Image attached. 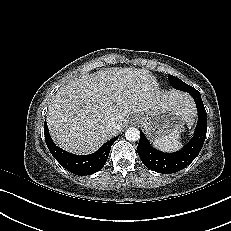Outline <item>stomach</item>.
I'll return each instance as SVG.
<instances>
[{
	"label": "stomach",
	"mask_w": 231,
	"mask_h": 231,
	"mask_svg": "<svg viewBox=\"0 0 231 231\" xmlns=\"http://www.w3.org/2000/svg\"><path fill=\"white\" fill-rule=\"evenodd\" d=\"M134 117L150 140L180 132L185 122L183 110L174 105H167L152 113L138 114Z\"/></svg>",
	"instance_id": "stomach-1"
}]
</instances>
